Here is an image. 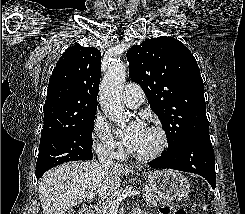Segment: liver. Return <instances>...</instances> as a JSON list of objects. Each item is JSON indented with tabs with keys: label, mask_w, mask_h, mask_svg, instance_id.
Here are the masks:
<instances>
[{
	"label": "liver",
	"mask_w": 245,
	"mask_h": 214,
	"mask_svg": "<svg viewBox=\"0 0 245 214\" xmlns=\"http://www.w3.org/2000/svg\"><path fill=\"white\" fill-rule=\"evenodd\" d=\"M132 170L118 164L105 167L96 161L70 162L47 171L39 182L43 214H64L89 193L110 196L120 186L119 174Z\"/></svg>",
	"instance_id": "obj_1"
}]
</instances>
